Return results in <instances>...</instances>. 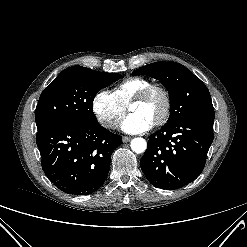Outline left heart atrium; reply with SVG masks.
<instances>
[{
	"label": "left heart atrium",
	"mask_w": 247,
	"mask_h": 247,
	"mask_svg": "<svg viewBox=\"0 0 247 247\" xmlns=\"http://www.w3.org/2000/svg\"><path fill=\"white\" fill-rule=\"evenodd\" d=\"M153 122L137 112L130 113L120 124V128L130 134H137L148 131Z\"/></svg>",
	"instance_id": "1"
}]
</instances>
